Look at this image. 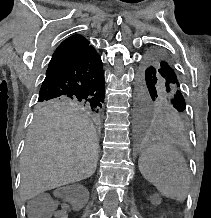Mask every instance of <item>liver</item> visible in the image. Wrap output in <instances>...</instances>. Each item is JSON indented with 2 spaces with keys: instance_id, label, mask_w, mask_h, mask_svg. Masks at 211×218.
I'll use <instances>...</instances> for the list:
<instances>
[{
  "instance_id": "obj_1",
  "label": "liver",
  "mask_w": 211,
  "mask_h": 218,
  "mask_svg": "<svg viewBox=\"0 0 211 218\" xmlns=\"http://www.w3.org/2000/svg\"><path fill=\"white\" fill-rule=\"evenodd\" d=\"M97 162L96 130L86 114L74 108L37 110L20 162L21 198L86 180Z\"/></svg>"
}]
</instances>
